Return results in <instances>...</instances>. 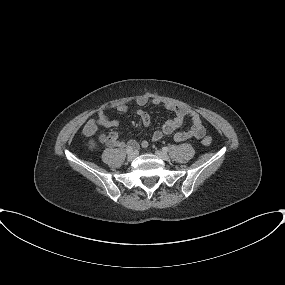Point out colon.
Wrapping results in <instances>:
<instances>
[{
    "instance_id": "1",
    "label": "colon",
    "mask_w": 285,
    "mask_h": 285,
    "mask_svg": "<svg viewBox=\"0 0 285 285\" xmlns=\"http://www.w3.org/2000/svg\"><path fill=\"white\" fill-rule=\"evenodd\" d=\"M202 142L204 145H209L212 142V140L210 137H205Z\"/></svg>"
}]
</instances>
